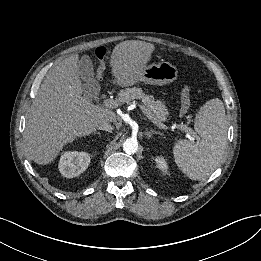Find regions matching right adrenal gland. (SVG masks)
Masks as SVG:
<instances>
[{
  "mask_svg": "<svg viewBox=\"0 0 261 261\" xmlns=\"http://www.w3.org/2000/svg\"><path fill=\"white\" fill-rule=\"evenodd\" d=\"M94 134H97V135L101 136V134L99 132H95Z\"/></svg>",
  "mask_w": 261,
  "mask_h": 261,
  "instance_id": "right-adrenal-gland-1",
  "label": "right adrenal gland"
}]
</instances>
